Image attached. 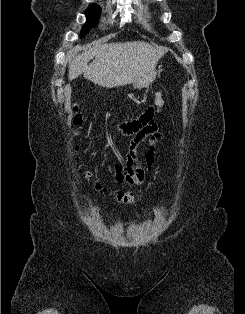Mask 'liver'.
<instances>
[{"label":"liver","instance_id":"1","mask_svg":"<svg viewBox=\"0 0 245 314\" xmlns=\"http://www.w3.org/2000/svg\"><path fill=\"white\" fill-rule=\"evenodd\" d=\"M166 52L167 48L144 41L99 44L75 57L69 51L68 77L71 81L83 74L85 79L103 87L131 84L154 71Z\"/></svg>","mask_w":245,"mask_h":314}]
</instances>
